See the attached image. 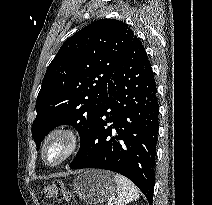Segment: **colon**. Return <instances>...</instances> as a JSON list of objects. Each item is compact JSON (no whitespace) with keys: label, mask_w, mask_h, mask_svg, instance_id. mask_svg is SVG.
<instances>
[{"label":"colon","mask_w":212,"mask_h":205,"mask_svg":"<svg viewBox=\"0 0 212 205\" xmlns=\"http://www.w3.org/2000/svg\"><path fill=\"white\" fill-rule=\"evenodd\" d=\"M43 194L46 198L63 201L70 198L66 186L61 182H53L44 188Z\"/></svg>","instance_id":"obj_1"}]
</instances>
